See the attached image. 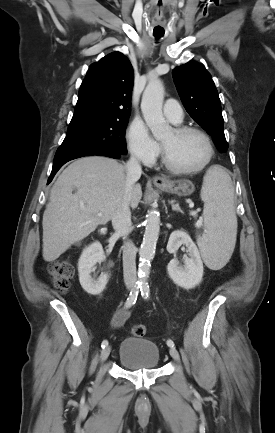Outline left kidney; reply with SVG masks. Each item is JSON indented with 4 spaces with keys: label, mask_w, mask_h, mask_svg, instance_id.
Returning a JSON list of instances; mask_svg holds the SVG:
<instances>
[{
    "label": "left kidney",
    "mask_w": 275,
    "mask_h": 433,
    "mask_svg": "<svg viewBox=\"0 0 275 433\" xmlns=\"http://www.w3.org/2000/svg\"><path fill=\"white\" fill-rule=\"evenodd\" d=\"M182 244L188 248L189 258L185 259L184 266H180L176 259H172L167 266V270L176 285L184 289H191L202 280L203 262L195 243L186 232L181 230L171 233L167 251L171 254L175 253Z\"/></svg>",
    "instance_id": "1"
}]
</instances>
